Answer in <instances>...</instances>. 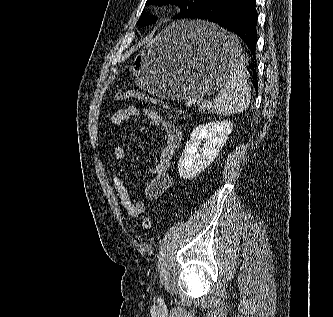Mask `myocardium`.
<instances>
[{
	"label": "myocardium",
	"mask_w": 333,
	"mask_h": 317,
	"mask_svg": "<svg viewBox=\"0 0 333 317\" xmlns=\"http://www.w3.org/2000/svg\"><path fill=\"white\" fill-rule=\"evenodd\" d=\"M171 9V5L169 3H161L157 6V11L160 13H167Z\"/></svg>",
	"instance_id": "myocardium-1"
}]
</instances>
